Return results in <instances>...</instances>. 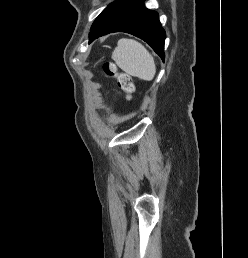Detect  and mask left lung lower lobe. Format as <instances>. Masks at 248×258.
I'll return each instance as SVG.
<instances>
[{"instance_id":"0a47b994","label":"left lung lower lobe","mask_w":248,"mask_h":258,"mask_svg":"<svg viewBox=\"0 0 248 258\" xmlns=\"http://www.w3.org/2000/svg\"><path fill=\"white\" fill-rule=\"evenodd\" d=\"M126 32L147 42L164 61L165 31L158 13L148 10L143 0H129L90 31V42L105 34Z\"/></svg>"}]
</instances>
